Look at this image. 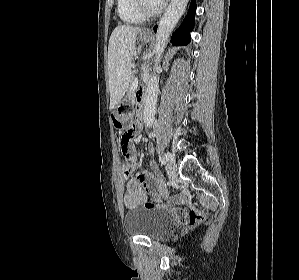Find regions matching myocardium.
Masks as SVG:
<instances>
[{"label": "myocardium", "instance_id": "f54148a6", "mask_svg": "<svg viewBox=\"0 0 299 280\" xmlns=\"http://www.w3.org/2000/svg\"><path fill=\"white\" fill-rule=\"evenodd\" d=\"M135 5L139 13L144 17H155L162 12L164 7L163 4H160L157 8L150 9L146 6L145 0H135Z\"/></svg>", "mask_w": 299, "mask_h": 280}]
</instances>
